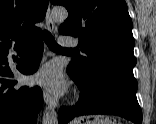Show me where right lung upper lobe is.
<instances>
[{"mask_svg":"<svg viewBox=\"0 0 156 124\" xmlns=\"http://www.w3.org/2000/svg\"><path fill=\"white\" fill-rule=\"evenodd\" d=\"M49 0H0V47L22 46L40 35Z\"/></svg>","mask_w":156,"mask_h":124,"instance_id":"right-lung-upper-lobe-1","label":"right lung upper lobe"}]
</instances>
